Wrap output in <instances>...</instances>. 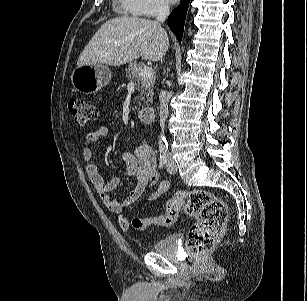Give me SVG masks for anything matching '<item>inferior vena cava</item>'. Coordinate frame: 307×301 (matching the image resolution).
Listing matches in <instances>:
<instances>
[{"mask_svg":"<svg viewBox=\"0 0 307 301\" xmlns=\"http://www.w3.org/2000/svg\"><path fill=\"white\" fill-rule=\"evenodd\" d=\"M170 13L169 5L166 3H161L158 7L156 20L159 23H163ZM160 101V126L163 130L165 120L168 115V102H169V93L167 91H161L159 94Z\"/></svg>","mask_w":307,"mask_h":301,"instance_id":"obj_1","label":"inferior vena cava"}]
</instances>
